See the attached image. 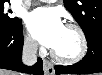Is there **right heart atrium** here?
Masks as SVG:
<instances>
[{
    "mask_svg": "<svg viewBox=\"0 0 102 75\" xmlns=\"http://www.w3.org/2000/svg\"><path fill=\"white\" fill-rule=\"evenodd\" d=\"M24 45L25 48L30 52H33L37 49L36 42L29 35L24 37Z\"/></svg>",
    "mask_w": 102,
    "mask_h": 75,
    "instance_id": "1",
    "label": "right heart atrium"
}]
</instances>
